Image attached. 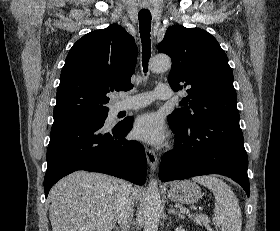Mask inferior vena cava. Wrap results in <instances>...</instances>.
<instances>
[{
  "mask_svg": "<svg viewBox=\"0 0 280 231\" xmlns=\"http://www.w3.org/2000/svg\"><path fill=\"white\" fill-rule=\"evenodd\" d=\"M120 191L121 197L116 199L117 219L122 231H128L129 221H131L134 213L133 187L127 181H121Z\"/></svg>",
  "mask_w": 280,
  "mask_h": 231,
  "instance_id": "602c4592",
  "label": "inferior vena cava"
}]
</instances>
